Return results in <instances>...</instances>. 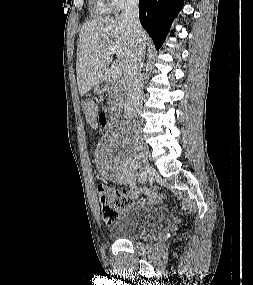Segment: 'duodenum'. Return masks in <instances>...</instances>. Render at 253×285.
Listing matches in <instances>:
<instances>
[{
  "mask_svg": "<svg viewBox=\"0 0 253 285\" xmlns=\"http://www.w3.org/2000/svg\"><path fill=\"white\" fill-rule=\"evenodd\" d=\"M106 86H107V81L106 80H101L98 83L97 88H98L99 91H104ZM117 116H118L117 111L108 113L109 120H111V121L115 120L117 118Z\"/></svg>",
  "mask_w": 253,
  "mask_h": 285,
  "instance_id": "duodenum-1",
  "label": "duodenum"
}]
</instances>
